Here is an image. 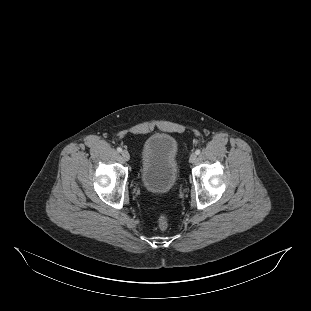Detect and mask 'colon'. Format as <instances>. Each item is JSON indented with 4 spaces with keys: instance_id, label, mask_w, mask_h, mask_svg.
I'll return each mask as SVG.
<instances>
[{
    "instance_id": "obj_1",
    "label": "colon",
    "mask_w": 311,
    "mask_h": 311,
    "mask_svg": "<svg viewBox=\"0 0 311 311\" xmlns=\"http://www.w3.org/2000/svg\"><path fill=\"white\" fill-rule=\"evenodd\" d=\"M157 226L161 229L164 230L168 226V217L165 213L159 214V216L156 219Z\"/></svg>"
}]
</instances>
